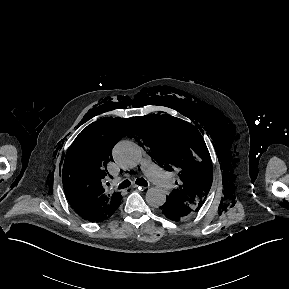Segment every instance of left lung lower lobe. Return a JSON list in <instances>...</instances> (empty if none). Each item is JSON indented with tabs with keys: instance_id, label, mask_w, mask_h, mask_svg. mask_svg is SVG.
I'll use <instances>...</instances> for the list:
<instances>
[{
	"instance_id": "1",
	"label": "left lung lower lobe",
	"mask_w": 289,
	"mask_h": 289,
	"mask_svg": "<svg viewBox=\"0 0 289 289\" xmlns=\"http://www.w3.org/2000/svg\"><path fill=\"white\" fill-rule=\"evenodd\" d=\"M161 213L172 221H179L191 216L195 210L190 206L172 201L167 198L164 205L160 206Z\"/></svg>"
}]
</instances>
